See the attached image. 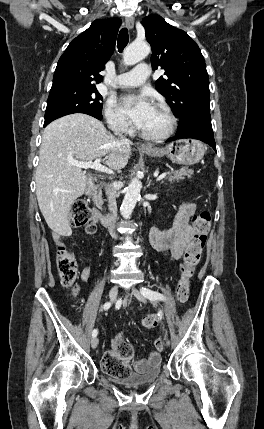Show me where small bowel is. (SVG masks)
Here are the masks:
<instances>
[{"label": "small bowel", "instance_id": "1", "mask_svg": "<svg viewBox=\"0 0 264 429\" xmlns=\"http://www.w3.org/2000/svg\"><path fill=\"white\" fill-rule=\"evenodd\" d=\"M196 205L193 202L185 201L181 204L178 214L176 215L171 227L166 229L151 228L149 230V241L154 249L166 255L171 260H178L183 255L184 251L196 238V230L189 225V219L194 214ZM97 220H94L88 227L86 232L94 234L97 229ZM71 230L66 229L61 233L53 235L54 241L58 247H65L64 237L70 236ZM92 273V266L86 265L81 272V280L88 281ZM124 343L121 336H118L113 341L112 350L107 353L113 354L115 349ZM160 350H153L149 353L148 358H138L133 362L127 361V368L129 371L133 368L137 372H144L148 368L160 364L161 356Z\"/></svg>", "mask_w": 264, "mask_h": 429}]
</instances>
